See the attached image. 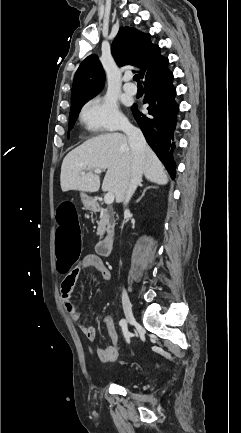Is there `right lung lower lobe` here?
Masks as SVG:
<instances>
[{
  "label": "right lung lower lobe",
  "instance_id": "1",
  "mask_svg": "<svg viewBox=\"0 0 241 433\" xmlns=\"http://www.w3.org/2000/svg\"><path fill=\"white\" fill-rule=\"evenodd\" d=\"M173 74L168 64L159 72L144 80L145 97L149 104L144 115L133 106V115L141 128L146 141L165 165L172 177H175L174 162L175 136L179 105L175 101L176 89L172 85Z\"/></svg>",
  "mask_w": 241,
  "mask_h": 433
}]
</instances>
